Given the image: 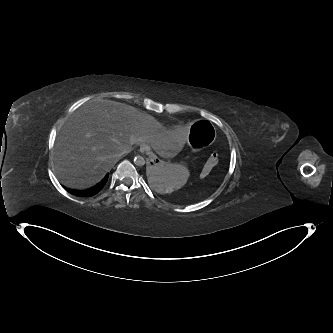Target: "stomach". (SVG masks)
Segmentation results:
<instances>
[{
  "instance_id": "obj_1",
  "label": "stomach",
  "mask_w": 333,
  "mask_h": 333,
  "mask_svg": "<svg viewBox=\"0 0 333 333\" xmlns=\"http://www.w3.org/2000/svg\"><path fill=\"white\" fill-rule=\"evenodd\" d=\"M216 139L212 123L207 120H199L191 126L189 135V147L193 151H199L207 145H212ZM149 182L161 193L179 191L183 185L189 184L193 179V170L187 164H165L153 157L146 170Z\"/></svg>"
}]
</instances>
